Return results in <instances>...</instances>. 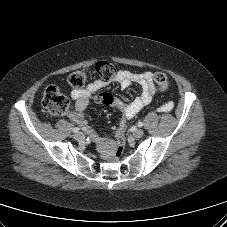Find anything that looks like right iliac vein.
<instances>
[{"label": "right iliac vein", "instance_id": "63e3f726", "mask_svg": "<svg viewBox=\"0 0 227 227\" xmlns=\"http://www.w3.org/2000/svg\"><path fill=\"white\" fill-rule=\"evenodd\" d=\"M84 138H85V136H84V134L81 133V132L76 133V134L74 135V139H75L76 141H78V142L83 141Z\"/></svg>", "mask_w": 227, "mask_h": 227}]
</instances>
